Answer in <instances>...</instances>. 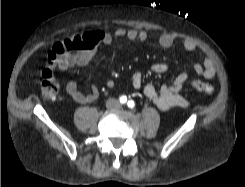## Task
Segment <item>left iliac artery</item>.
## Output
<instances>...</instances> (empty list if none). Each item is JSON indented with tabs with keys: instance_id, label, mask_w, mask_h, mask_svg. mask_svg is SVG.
I'll use <instances>...</instances> for the list:
<instances>
[{
	"instance_id": "obj_1",
	"label": "left iliac artery",
	"mask_w": 245,
	"mask_h": 187,
	"mask_svg": "<svg viewBox=\"0 0 245 187\" xmlns=\"http://www.w3.org/2000/svg\"><path fill=\"white\" fill-rule=\"evenodd\" d=\"M127 105H128V107H129V108H131V109H132V108H134L135 103H134V101H133V100H129V101H128V103H127Z\"/></svg>"
}]
</instances>
